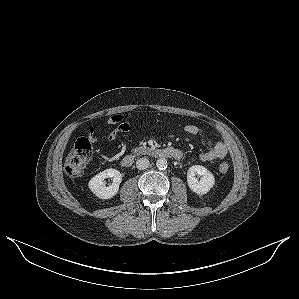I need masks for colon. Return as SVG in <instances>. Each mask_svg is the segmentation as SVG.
Masks as SVG:
<instances>
[{"label": "colon", "mask_w": 299, "mask_h": 299, "mask_svg": "<svg viewBox=\"0 0 299 299\" xmlns=\"http://www.w3.org/2000/svg\"><path fill=\"white\" fill-rule=\"evenodd\" d=\"M92 157V145L88 138H80L65 161V171L70 177H80L84 174ZM229 169L227 163H221L219 170L226 173Z\"/></svg>", "instance_id": "colon-1"}]
</instances>
